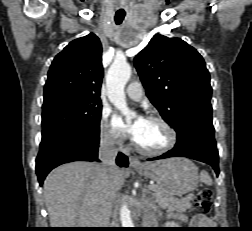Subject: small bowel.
<instances>
[{
	"label": "small bowel",
	"mask_w": 252,
	"mask_h": 231,
	"mask_svg": "<svg viewBox=\"0 0 252 231\" xmlns=\"http://www.w3.org/2000/svg\"><path fill=\"white\" fill-rule=\"evenodd\" d=\"M175 217L182 220L186 221L184 216L180 213L175 214ZM210 220L207 216L203 214H196L192 217V219L188 222L189 226L191 227H204L209 224Z\"/></svg>",
	"instance_id": "1"
}]
</instances>
